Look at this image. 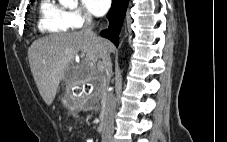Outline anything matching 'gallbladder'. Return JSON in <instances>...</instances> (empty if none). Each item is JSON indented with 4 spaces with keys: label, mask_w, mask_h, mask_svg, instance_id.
Masks as SVG:
<instances>
[{
    "label": "gallbladder",
    "mask_w": 227,
    "mask_h": 142,
    "mask_svg": "<svg viewBox=\"0 0 227 142\" xmlns=\"http://www.w3.org/2000/svg\"><path fill=\"white\" fill-rule=\"evenodd\" d=\"M73 98L70 97V94H67V97L63 98V104L65 109H70L72 104Z\"/></svg>",
    "instance_id": "1"
}]
</instances>
